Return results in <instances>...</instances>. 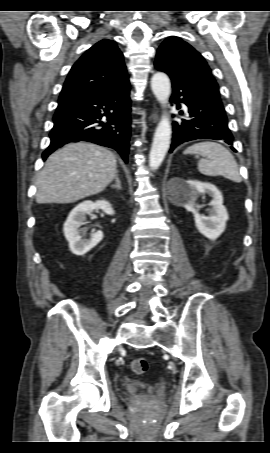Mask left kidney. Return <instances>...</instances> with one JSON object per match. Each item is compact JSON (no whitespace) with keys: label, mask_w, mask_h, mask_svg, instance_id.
Returning a JSON list of instances; mask_svg holds the SVG:
<instances>
[{"label":"left kidney","mask_w":270,"mask_h":453,"mask_svg":"<svg viewBox=\"0 0 270 453\" xmlns=\"http://www.w3.org/2000/svg\"><path fill=\"white\" fill-rule=\"evenodd\" d=\"M203 194L212 197L209 203L211 208L207 209L208 216L200 214L196 204L198 197ZM180 203L193 213L196 228L208 239L216 240L224 232L229 216L223 205L222 193L215 185L196 180L184 181Z\"/></svg>","instance_id":"1"}]
</instances>
